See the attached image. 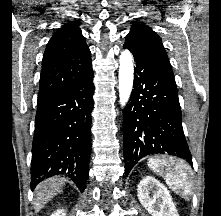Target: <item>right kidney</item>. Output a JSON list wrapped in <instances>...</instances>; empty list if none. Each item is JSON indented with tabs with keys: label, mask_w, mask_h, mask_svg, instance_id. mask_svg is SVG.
<instances>
[{
	"label": "right kidney",
	"mask_w": 221,
	"mask_h": 216,
	"mask_svg": "<svg viewBox=\"0 0 221 216\" xmlns=\"http://www.w3.org/2000/svg\"><path fill=\"white\" fill-rule=\"evenodd\" d=\"M51 216H66V213H65V211L63 209H58Z\"/></svg>",
	"instance_id": "obj_1"
}]
</instances>
